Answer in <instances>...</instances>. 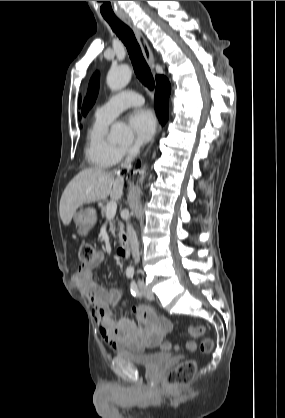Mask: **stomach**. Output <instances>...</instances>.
<instances>
[{"label":"stomach","instance_id":"obj_1","mask_svg":"<svg viewBox=\"0 0 285 418\" xmlns=\"http://www.w3.org/2000/svg\"><path fill=\"white\" fill-rule=\"evenodd\" d=\"M97 217L96 213L93 209L89 208L86 210H81L80 212L76 213L74 216V222L78 227V233L81 236H86L88 231L94 226L96 223Z\"/></svg>","mask_w":285,"mask_h":418}]
</instances>
